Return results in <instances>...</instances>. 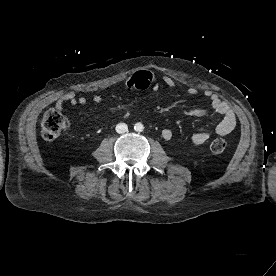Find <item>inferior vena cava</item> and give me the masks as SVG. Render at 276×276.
Segmentation results:
<instances>
[{
  "instance_id": "inferior-vena-cava-1",
  "label": "inferior vena cava",
  "mask_w": 276,
  "mask_h": 276,
  "mask_svg": "<svg viewBox=\"0 0 276 276\" xmlns=\"http://www.w3.org/2000/svg\"><path fill=\"white\" fill-rule=\"evenodd\" d=\"M128 131V126L125 123H119L116 125V132L118 134H123Z\"/></svg>"
}]
</instances>
